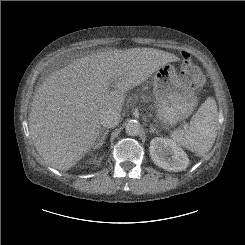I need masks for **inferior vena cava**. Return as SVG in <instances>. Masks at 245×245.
<instances>
[{
    "instance_id": "602c4592",
    "label": "inferior vena cava",
    "mask_w": 245,
    "mask_h": 245,
    "mask_svg": "<svg viewBox=\"0 0 245 245\" xmlns=\"http://www.w3.org/2000/svg\"><path fill=\"white\" fill-rule=\"evenodd\" d=\"M120 121V114L115 110H105L100 115V123L106 128H112L118 125Z\"/></svg>"
}]
</instances>
